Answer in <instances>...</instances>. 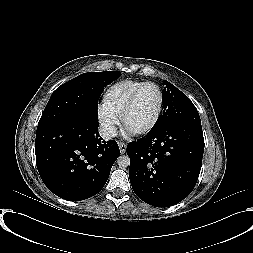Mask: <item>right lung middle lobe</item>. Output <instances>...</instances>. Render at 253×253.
I'll list each match as a JSON object with an SVG mask.
<instances>
[{
	"instance_id": "right-lung-middle-lobe-1",
	"label": "right lung middle lobe",
	"mask_w": 253,
	"mask_h": 253,
	"mask_svg": "<svg viewBox=\"0 0 253 253\" xmlns=\"http://www.w3.org/2000/svg\"><path fill=\"white\" fill-rule=\"evenodd\" d=\"M120 76L119 71L88 72L62 84L52 93L38 127L75 116L97 121V102L103 88Z\"/></svg>"
}]
</instances>
